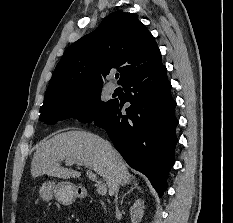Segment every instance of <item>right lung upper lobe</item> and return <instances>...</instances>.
Returning <instances> with one entry per match:
<instances>
[{
	"label": "right lung upper lobe",
	"mask_w": 233,
	"mask_h": 223,
	"mask_svg": "<svg viewBox=\"0 0 233 223\" xmlns=\"http://www.w3.org/2000/svg\"><path fill=\"white\" fill-rule=\"evenodd\" d=\"M160 63V50L144 24L130 13L114 12L97 29L66 49L55 68L43 105L102 88L104 78L115 68L123 85Z\"/></svg>",
	"instance_id": "obj_1"
}]
</instances>
